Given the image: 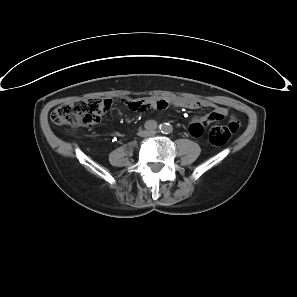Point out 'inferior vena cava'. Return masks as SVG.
<instances>
[{"mask_svg":"<svg viewBox=\"0 0 297 297\" xmlns=\"http://www.w3.org/2000/svg\"><path fill=\"white\" fill-rule=\"evenodd\" d=\"M155 134V131H145L144 136H151Z\"/></svg>","mask_w":297,"mask_h":297,"instance_id":"1","label":"inferior vena cava"}]
</instances>
